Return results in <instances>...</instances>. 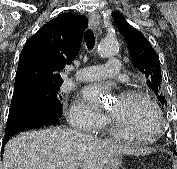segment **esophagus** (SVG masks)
<instances>
[{
	"instance_id": "34e87169",
	"label": "esophagus",
	"mask_w": 177,
	"mask_h": 169,
	"mask_svg": "<svg viewBox=\"0 0 177 169\" xmlns=\"http://www.w3.org/2000/svg\"><path fill=\"white\" fill-rule=\"evenodd\" d=\"M88 25L93 30H97L99 28V25H100V16H99L98 13H93L90 16Z\"/></svg>"
}]
</instances>
